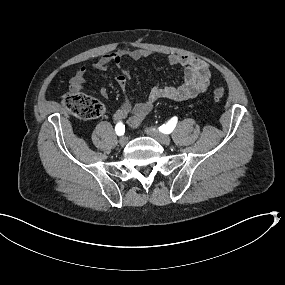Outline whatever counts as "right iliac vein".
I'll list each match as a JSON object with an SVG mask.
<instances>
[{
    "label": "right iliac vein",
    "mask_w": 285,
    "mask_h": 285,
    "mask_svg": "<svg viewBox=\"0 0 285 285\" xmlns=\"http://www.w3.org/2000/svg\"><path fill=\"white\" fill-rule=\"evenodd\" d=\"M120 145L123 147V146H126L127 143H128V138L126 136H123L120 141H119Z\"/></svg>",
    "instance_id": "right-iliac-vein-1"
}]
</instances>
